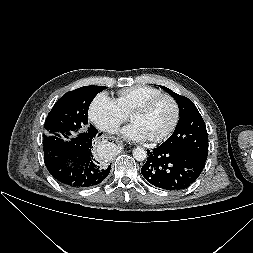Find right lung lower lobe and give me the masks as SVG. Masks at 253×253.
I'll list each match as a JSON object with an SVG mask.
<instances>
[{
    "instance_id": "right-lung-lower-lobe-1",
    "label": "right lung lower lobe",
    "mask_w": 253,
    "mask_h": 253,
    "mask_svg": "<svg viewBox=\"0 0 253 253\" xmlns=\"http://www.w3.org/2000/svg\"><path fill=\"white\" fill-rule=\"evenodd\" d=\"M96 128L67 141L44 143V162L60 183L73 188L100 184L110 173V165L101 159L95 145L100 136Z\"/></svg>"
}]
</instances>
